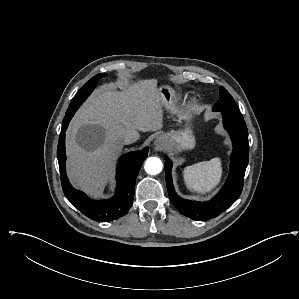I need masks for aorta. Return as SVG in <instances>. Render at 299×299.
<instances>
[{
	"instance_id": "1",
	"label": "aorta",
	"mask_w": 299,
	"mask_h": 299,
	"mask_svg": "<svg viewBox=\"0 0 299 299\" xmlns=\"http://www.w3.org/2000/svg\"><path fill=\"white\" fill-rule=\"evenodd\" d=\"M163 164L158 157H149L144 165L145 171L150 175L159 174L162 171Z\"/></svg>"
}]
</instances>
